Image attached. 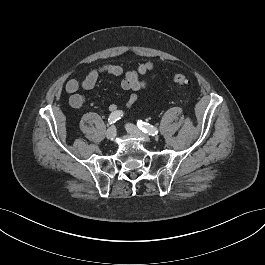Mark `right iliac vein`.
Listing matches in <instances>:
<instances>
[{
	"label": "right iliac vein",
	"instance_id": "1",
	"mask_svg": "<svg viewBox=\"0 0 265 265\" xmlns=\"http://www.w3.org/2000/svg\"><path fill=\"white\" fill-rule=\"evenodd\" d=\"M115 136H116V128H115V126L109 127L107 129V131H106V137H107V139L112 140V139L115 138Z\"/></svg>",
	"mask_w": 265,
	"mask_h": 265
}]
</instances>
